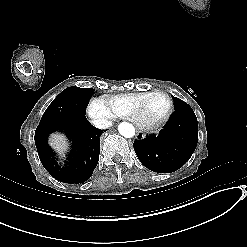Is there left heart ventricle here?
I'll list each match as a JSON object with an SVG mask.
<instances>
[{"mask_svg":"<svg viewBox=\"0 0 247 247\" xmlns=\"http://www.w3.org/2000/svg\"><path fill=\"white\" fill-rule=\"evenodd\" d=\"M165 104V99L161 96H155L148 103V112L152 115L158 114Z\"/></svg>","mask_w":247,"mask_h":247,"instance_id":"b2bd125f","label":"left heart ventricle"}]
</instances>
